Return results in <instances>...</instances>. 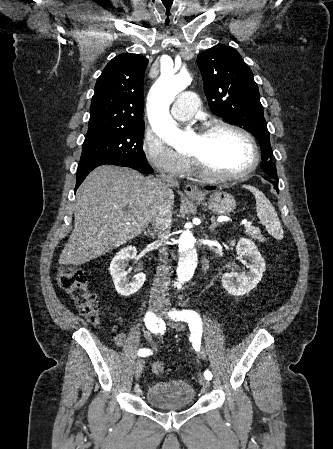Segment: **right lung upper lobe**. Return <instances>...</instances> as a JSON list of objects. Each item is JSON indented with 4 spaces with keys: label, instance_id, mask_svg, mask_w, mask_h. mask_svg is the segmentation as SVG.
I'll list each match as a JSON object with an SVG mask.
<instances>
[{
    "label": "right lung upper lobe",
    "instance_id": "right-lung-upper-lobe-1",
    "mask_svg": "<svg viewBox=\"0 0 333 449\" xmlns=\"http://www.w3.org/2000/svg\"><path fill=\"white\" fill-rule=\"evenodd\" d=\"M148 59L123 53L105 67L95 85L89 128L143 123V82Z\"/></svg>",
    "mask_w": 333,
    "mask_h": 449
}]
</instances>
